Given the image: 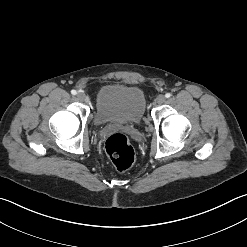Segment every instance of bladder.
Wrapping results in <instances>:
<instances>
[{
  "instance_id": "1",
  "label": "bladder",
  "mask_w": 247,
  "mask_h": 247,
  "mask_svg": "<svg viewBox=\"0 0 247 247\" xmlns=\"http://www.w3.org/2000/svg\"><path fill=\"white\" fill-rule=\"evenodd\" d=\"M146 100L143 91L136 86L106 84L97 92L95 123L138 124L144 116Z\"/></svg>"
}]
</instances>
